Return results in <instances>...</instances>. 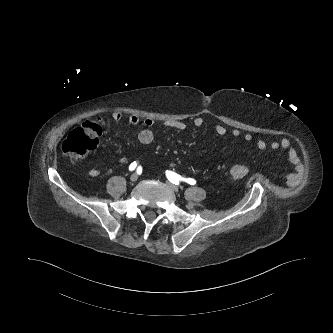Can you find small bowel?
<instances>
[{
	"label": "small bowel",
	"instance_id": "obj_1",
	"mask_svg": "<svg viewBox=\"0 0 333 333\" xmlns=\"http://www.w3.org/2000/svg\"><path fill=\"white\" fill-rule=\"evenodd\" d=\"M121 118H122V114L120 112H114L111 114V117H110L112 122H118L121 120ZM129 122L133 125H137L140 122H142L144 128L138 134V141L143 145H148V144L152 143V141L154 139V132H153L152 128L155 124V121L152 118L146 117L143 120H141L138 116L132 115L129 118ZM203 123H204V120L201 116H197L193 120V125L195 128L202 127ZM165 126L169 129L176 130V131H182L188 127L187 123L184 121H173V120L167 121L165 123ZM214 131L216 132V134H218L220 136L225 135L227 133L226 127L223 125H219V124L214 127ZM231 135L233 137H239L241 135V131L237 128H234L231 130ZM243 138L247 142H249L253 139V137L250 133L244 134ZM256 145L259 149H265L267 147L266 141L262 138H258L256 140ZM270 147L273 150L281 149L285 152L288 161L294 167V173H292L289 176V181H291V182L295 181L297 175L302 170V165H301V160H300L296 150L292 146L290 140L288 138L284 137L280 141H273L270 144ZM88 175L90 177L96 178L101 175V171L96 168H90L88 170Z\"/></svg>",
	"mask_w": 333,
	"mask_h": 333
}]
</instances>
